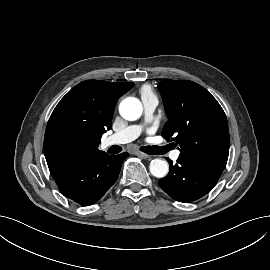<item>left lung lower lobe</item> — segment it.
<instances>
[{
	"mask_svg": "<svg viewBox=\"0 0 270 270\" xmlns=\"http://www.w3.org/2000/svg\"><path fill=\"white\" fill-rule=\"evenodd\" d=\"M170 165L169 174L158 181L159 186L173 199L189 203L207 194L219 180L225 166L180 156Z\"/></svg>",
	"mask_w": 270,
	"mask_h": 270,
	"instance_id": "obj_1",
	"label": "left lung lower lobe"
}]
</instances>
